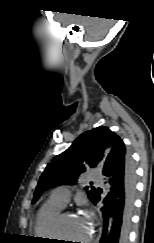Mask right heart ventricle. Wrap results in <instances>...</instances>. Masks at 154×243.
<instances>
[{
	"instance_id": "e07e8e85",
	"label": "right heart ventricle",
	"mask_w": 154,
	"mask_h": 243,
	"mask_svg": "<svg viewBox=\"0 0 154 243\" xmlns=\"http://www.w3.org/2000/svg\"><path fill=\"white\" fill-rule=\"evenodd\" d=\"M62 209L63 207L51 200H48L40 208L34 224L36 236L45 240L55 239L53 235V221Z\"/></svg>"
}]
</instances>
